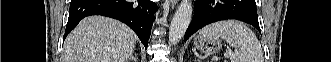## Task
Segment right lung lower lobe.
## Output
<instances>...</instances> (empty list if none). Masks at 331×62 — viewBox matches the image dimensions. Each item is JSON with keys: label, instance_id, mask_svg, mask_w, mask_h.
<instances>
[{"label": "right lung lower lobe", "instance_id": "right-lung-lower-lobe-1", "mask_svg": "<svg viewBox=\"0 0 331 62\" xmlns=\"http://www.w3.org/2000/svg\"><path fill=\"white\" fill-rule=\"evenodd\" d=\"M157 9L150 0H71L64 39L84 17L102 15L127 24L147 48Z\"/></svg>", "mask_w": 331, "mask_h": 62}]
</instances>
